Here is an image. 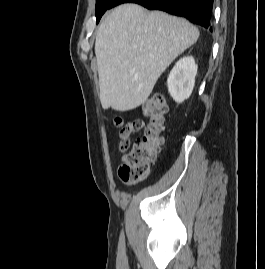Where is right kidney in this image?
Returning a JSON list of instances; mask_svg holds the SVG:
<instances>
[{"label":"right kidney","mask_w":265,"mask_h":269,"mask_svg":"<svg viewBox=\"0 0 265 269\" xmlns=\"http://www.w3.org/2000/svg\"><path fill=\"white\" fill-rule=\"evenodd\" d=\"M198 66L193 57L181 58L171 70L167 86L171 97L181 103L188 99L193 91Z\"/></svg>","instance_id":"obj_1"}]
</instances>
